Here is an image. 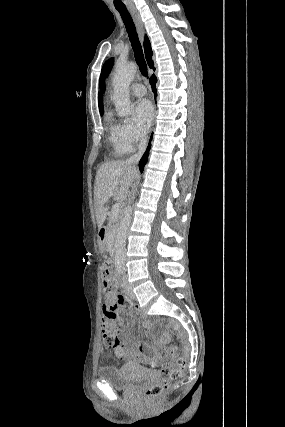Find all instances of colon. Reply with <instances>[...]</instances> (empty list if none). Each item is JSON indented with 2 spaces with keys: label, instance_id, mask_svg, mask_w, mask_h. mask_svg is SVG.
<instances>
[{
  "label": "colon",
  "instance_id": "1",
  "mask_svg": "<svg viewBox=\"0 0 285 427\" xmlns=\"http://www.w3.org/2000/svg\"><path fill=\"white\" fill-rule=\"evenodd\" d=\"M101 271L104 285L105 309V321L102 323V335L105 346L110 350L109 357H112L121 353L124 347L118 337V330L114 316L117 296L115 286L110 280V265L108 263L103 264ZM167 322L175 331L180 332V326L177 321L168 319ZM169 357L174 359V361L163 364L164 376L161 383L147 386L145 388V400L149 403H155L160 400L162 395L169 389L171 381L180 377L182 370L187 364L185 356L179 354L178 347H173L170 350ZM149 364L151 366L156 365L154 356L150 357Z\"/></svg>",
  "mask_w": 285,
  "mask_h": 427
}]
</instances>
